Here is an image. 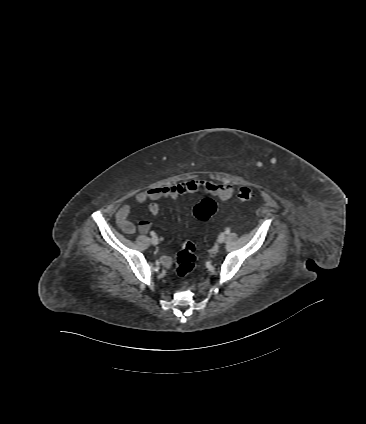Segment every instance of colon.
I'll return each mask as SVG.
<instances>
[{"label":"colon","mask_w":366,"mask_h":424,"mask_svg":"<svg viewBox=\"0 0 366 424\" xmlns=\"http://www.w3.org/2000/svg\"><path fill=\"white\" fill-rule=\"evenodd\" d=\"M252 196L251 188L243 186L239 189L238 199L241 203L249 201ZM216 209V203L210 198H205L194 207L193 213L198 220L203 221L209 219L216 212ZM195 250L196 245L191 239L186 240L181 245L175 259V272L178 277L184 278L193 272L196 261Z\"/></svg>","instance_id":"1"}]
</instances>
